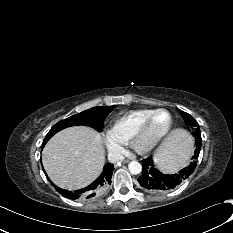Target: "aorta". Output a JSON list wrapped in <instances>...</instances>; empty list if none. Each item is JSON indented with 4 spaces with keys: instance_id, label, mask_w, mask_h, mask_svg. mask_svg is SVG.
Returning a JSON list of instances; mask_svg holds the SVG:
<instances>
[{
    "instance_id": "obj_1",
    "label": "aorta",
    "mask_w": 233,
    "mask_h": 233,
    "mask_svg": "<svg viewBox=\"0 0 233 233\" xmlns=\"http://www.w3.org/2000/svg\"><path fill=\"white\" fill-rule=\"evenodd\" d=\"M128 169L130 171L131 174L137 175L139 173H141L142 171V166L139 162L137 161H131L128 164Z\"/></svg>"
}]
</instances>
